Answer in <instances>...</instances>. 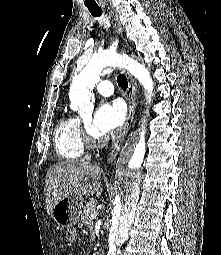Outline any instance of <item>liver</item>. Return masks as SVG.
<instances>
[{"label":"liver","instance_id":"1","mask_svg":"<svg viewBox=\"0 0 221 255\" xmlns=\"http://www.w3.org/2000/svg\"><path fill=\"white\" fill-rule=\"evenodd\" d=\"M102 173L99 166L86 161H66L51 166L45 180L48 214L52 216L54 206L66 196L101 195Z\"/></svg>","mask_w":221,"mask_h":255}]
</instances>
